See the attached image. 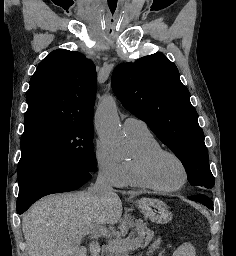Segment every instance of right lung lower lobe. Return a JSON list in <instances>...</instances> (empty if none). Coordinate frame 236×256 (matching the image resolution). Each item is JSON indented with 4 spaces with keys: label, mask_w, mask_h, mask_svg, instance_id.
I'll list each match as a JSON object with an SVG mask.
<instances>
[{
    "label": "right lung lower lobe",
    "mask_w": 236,
    "mask_h": 256,
    "mask_svg": "<svg viewBox=\"0 0 236 256\" xmlns=\"http://www.w3.org/2000/svg\"><path fill=\"white\" fill-rule=\"evenodd\" d=\"M91 177L90 174L76 168L31 177L19 185L17 213H24L35 201L45 195L78 189Z\"/></svg>",
    "instance_id": "right-lung-lower-lobe-1"
}]
</instances>
